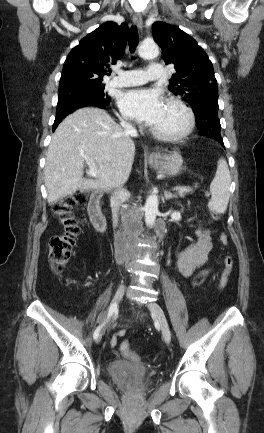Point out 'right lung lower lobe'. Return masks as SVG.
Returning a JSON list of instances; mask_svg holds the SVG:
<instances>
[{
	"mask_svg": "<svg viewBox=\"0 0 264 433\" xmlns=\"http://www.w3.org/2000/svg\"><path fill=\"white\" fill-rule=\"evenodd\" d=\"M108 104L101 102L99 100H87V101H81V102H77L75 103V105H73V108L69 110L68 113L64 114L63 116H59L55 118L54 121V125H53V131L57 128V126L59 125V123L62 121L63 118H65L68 114L72 113L74 110L81 108V107H87V106H92V107H98V108H102L105 109L107 107Z\"/></svg>",
	"mask_w": 264,
	"mask_h": 433,
	"instance_id": "obj_1",
	"label": "right lung lower lobe"
}]
</instances>
